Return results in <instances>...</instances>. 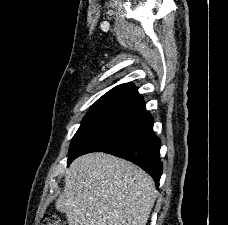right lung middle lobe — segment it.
I'll list each match as a JSON object with an SVG mask.
<instances>
[{"label": "right lung middle lobe", "instance_id": "right-lung-middle-lobe-1", "mask_svg": "<svg viewBox=\"0 0 228 225\" xmlns=\"http://www.w3.org/2000/svg\"><path fill=\"white\" fill-rule=\"evenodd\" d=\"M138 92L135 88L119 85L100 97L85 115L81 126L74 135L70 144L69 154L80 142L98 125L127 105Z\"/></svg>", "mask_w": 228, "mask_h": 225}]
</instances>
